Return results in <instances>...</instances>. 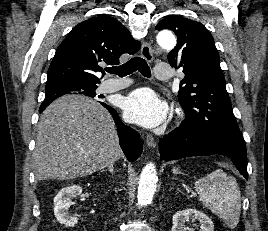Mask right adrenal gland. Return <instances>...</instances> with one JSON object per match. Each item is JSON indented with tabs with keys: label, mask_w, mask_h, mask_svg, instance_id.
<instances>
[{
	"label": "right adrenal gland",
	"mask_w": 268,
	"mask_h": 231,
	"mask_svg": "<svg viewBox=\"0 0 268 231\" xmlns=\"http://www.w3.org/2000/svg\"><path fill=\"white\" fill-rule=\"evenodd\" d=\"M109 171L112 175L114 174V165L110 164L108 168L101 170L100 172H106Z\"/></svg>",
	"instance_id": "1"
}]
</instances>
